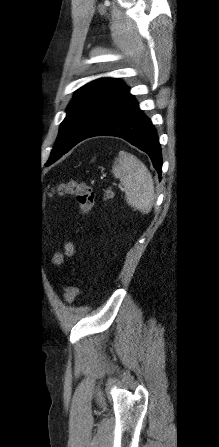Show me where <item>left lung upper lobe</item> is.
Segmentation results:
<instances>
[{
    "label": "left lung upper lobe",
    "instance_id": "5c2ea615",
    "mask_svg": "<svg viewBox=\"0 0 219 447\" xmlns=\"http://www.w3.org/2000/svg\"><path fill=\"white\" fill-rule=\"evenodd\" d=\"M128 94L129 88L116 78L98 79L78 89L49 159L82 141Z\"/></svg>",
    "mask_w": 219,
    "mask_h": 447
}]
</instances>
